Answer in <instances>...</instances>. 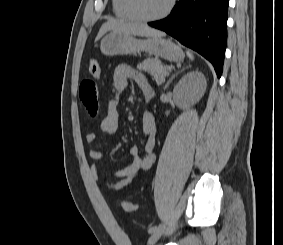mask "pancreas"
I'll return each mask as SVG.
<instances>
[{
  "instance_id": "pancreas-1",
  "label": "pancreas",
  "mask_w": 283,
  "mask_h": 245,
  "mask_svg": "<svg viewBox=\"0 0 283 245\" xmlns=\"http://www.w3.org/2000/svg\"><path fill=\"white\" fill-rule=\"evenodd\" d=\"M140 71L148 72L152 75L158 85L162 84L167 75L168 67L163 65L157 58H147L137 65Z\"/></svg>"
}]
</instances>
